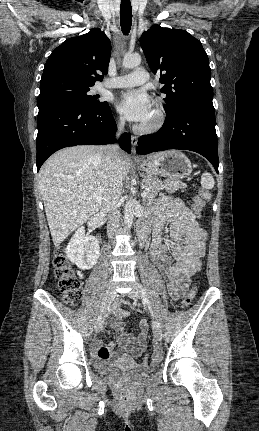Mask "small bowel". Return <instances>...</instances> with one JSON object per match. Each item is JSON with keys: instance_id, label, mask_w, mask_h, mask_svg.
Instances as JSON below:
<instances>
[{"instance_id": "1", "label": "small bowel", "mask_w": 259, "mask_h": 431, "mask_svg": "<svg viewBox=\"0 0 259 431\" xmlns=\"http://www.w3.org/2000/svg\"><path fill=\"white\" fill-rule=\"evenodd\" d=\"M154 214L156 221L151 253L170 298L178 300L202 268L207 233L194 218L192 208L186 207L179 199L170 196L160 198L154 207ZM167 230L169 238L166 236ZM113 314L115 318L111 324L117 331L118 348L114 350L113 343L103 344L95 340L94 350L98 361L106 362L111 358L127 361L130 356L140 357L146 347L148 321L139 320L140 332L134 337L126 332L122 321L129 317V313L115 308Z\"/></svg>"}]
</instances>
